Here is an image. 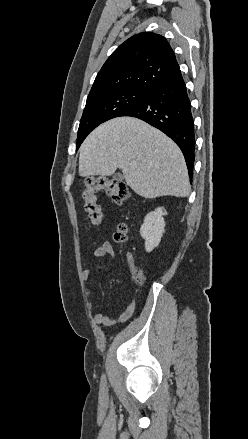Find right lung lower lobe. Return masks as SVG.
I'll list each match as a JSON object with an SVG mask.
<instances>
[{
	"mask_svg": "<svg viewBox=\"0 0 248 439\" xmlns=\"http://www.w3.org/2000/svg\"><path fill=\"white\" fill-rule=\"evenodd\" d=\"M120 116L139 118L170 137L183 152L191 181L195 159L194 122L181 74L149 92Z\"/></svg>",
	"mask_w": 248,
	"mask_h": 439,
	"instance_id": "obj_1",
	"label": "right lung lower lobe"
}]
</instances>
